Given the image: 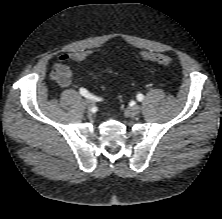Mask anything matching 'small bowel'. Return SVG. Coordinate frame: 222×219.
I'll list each match as a JSON object with an SVG mask.
<instances>
[{
	"label": "small bowel",
	"instance_id": "obj_1",
	"mask_svg": "<svg viewBox=\"0 0 222 219\" xmlns=\"http://www.w3.org/2000/svg\"><path fill=\"white\" fill-rule=\"evenodd\" d=\"M94 52L92 50H85L60 55L53 65L51 78L62 87L74 85V71L66 63L73 61L76 64H80L90 58Z\"/></svg>",
	"mask_w": 222,
	"mask_h": 219
}]
</instances>
